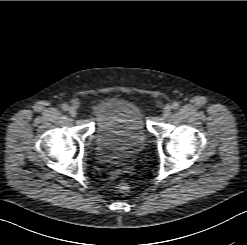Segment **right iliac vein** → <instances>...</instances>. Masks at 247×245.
<instances>
[{
	"mask_svg": "<svg viewBox=\"0 0 247 245\" xmlns=\"http://www.w3.org/2000/svg\"><path fill=\"white\" fill-rule=\"evenodd\" d=\"M69 114H70V116L75 117L77 115L76 108L75 107H70L69 108Z\"/></svg>",
	"mask_w": 247,
	"mask_h": 245,
	"instance_id": "obj_1",
	"label": "right iliac vein"
}]
</instances>
